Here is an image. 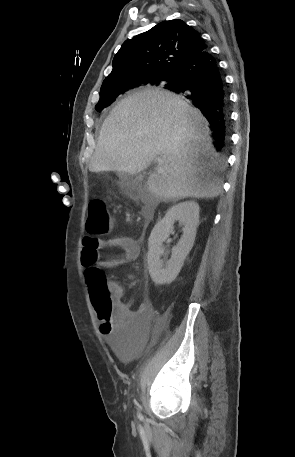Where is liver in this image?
I'll list each match as a JSON object with an SVG mask.
<instances>
[{
  "mask_svg": "<svg viewBox=\"0 0 295 457\" xmlns=\"http://www.w3.org/2000/svg\"><path fill=\"white\" fill-rule=\"evenodd\" d=\"M148 191L164 200L214 198L221 181L215 175L218 154L202 113L182 97L148 89L121 100L105 119L91 158V172L140 173L156 158Z\"/></svg>",
  "mask_w": 295,
  "mask_h": 457,
  "instance_id": "obj_1",
  "label": "liver"
}]
</instances>
